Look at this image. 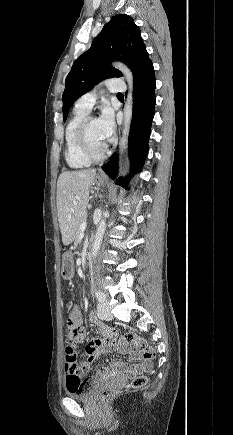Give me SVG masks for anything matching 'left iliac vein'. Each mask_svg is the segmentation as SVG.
Listing matches in <instances>:
<instances>
[{
	"label": "left iliac vein",
	"mask_w": 233,
	"mask_h": 435,
	"mask_svg": "<svg viewBox=\"0 0 233 435\" xmlns=\"http://www.w3.org/2000/svg\"><path fill=\"white\" fill-rule=\"evenodd\" d=\"M98 313L100 317L104 320H111L112 314L110 312L109 304L108 302H100L97 306Z\"/></svg>",
	"instance_id": "4c4485c4"
}]
</instances>
